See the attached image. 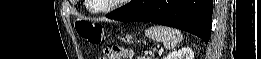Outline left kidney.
Returning <instances> with one entry per match:
<instances>
[{
  "label": "left kidney",
  "mask_w": 261,
  "mask_h": 59,
  "mask_svg": "<svg viewBox=\"0 0 261 59\" xmlns=\"http://www.w3.org/2000/svg\"><path fill=\"white\" fill-rule=\"evenodd\" d=\"M164 59H194V52L191 48H182L178 51L170 52Z\"/></svg>",
  "instance_id": "obj_1"
}]
</instances>
